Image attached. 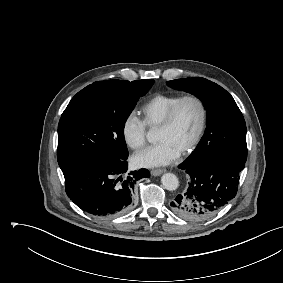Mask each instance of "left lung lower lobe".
Here are the masks:
<instances>
[{
    "mask_svg": "<svg viewBox=\"0 0 283 283\" xmlns=\"http://www.w3.org/2000/svg\"><path fill=\"white\" fill-rule=\"evenodd\" d=\"M245 162L230 158L210 159L179 168L189 175L188 188L171 203L172 211L185 220L203 221L215 215L237 193Z\"/></svg>",
    "mask_w": 283,
    "mask_h": 283,
    "instance_id": "1",
    "label": "left lung lower lobe"
}]
</instances>
